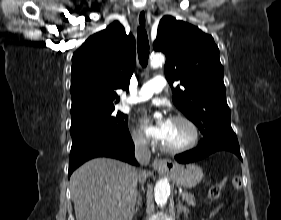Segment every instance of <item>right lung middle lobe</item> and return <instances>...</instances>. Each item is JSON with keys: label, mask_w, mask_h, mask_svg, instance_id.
Returning a JSON list of instances; mask_svg holds the SVG:
<instances>
[{"label": "right lung middle lobe", "mask_w": 281, "mask_h": 220, "mask_svg": "<svg viewBox=\"0 0 281 220\" xmlns=\"http://www.w3.org/2000/svg\"><path fill=\"white\" fill-rule=\"evenodd\" d=\"M70 134L72 141L88 136L108 137L129 134L128 116L114 109L90 113L71 119Z\"/></svg>", "instance_id": "dd1d6c3e"}]
</instances>
